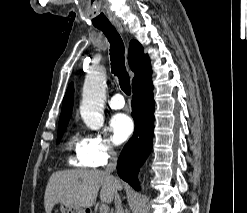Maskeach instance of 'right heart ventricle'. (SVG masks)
<instances>
[{
    "label": "right heart ventricle",
    "instance_id": "1",
    "mask_svg": "<svg viewBox=\"0 0 247 213\" xmlns=\"http://www.w3.org/2000/svg\"><path fill=\"white\" fill-rule=\"evenodd\" d=\"M86 140L82 139L78 134H73L67 144L66 148L71 153L69 161L71 164L79 167L89 166L84 159V149Z\"/></svg>",
    "mask_w": 247,
    "mask_h": 213
}]
</instances>
